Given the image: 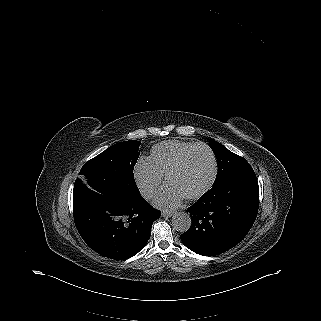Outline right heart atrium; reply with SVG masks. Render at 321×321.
<instances>
[{
    "mask_svg": "<svg viewBox=\"0 0 321 321\" xmlns=\"http://www.w3.org/2000/svg\"><path fill=\"white\" fill-rule=\"evenodd\" d=\"M133 180L146 198H152L157 192L162 177L154 170L148 158H139L133 168Z\"/></svg>",
    "mask_w": 321,
    "mask_h": 321,
    "instance_id": "d8ad5b80",
    "label": "right heart atrium"
}]
</instances>
